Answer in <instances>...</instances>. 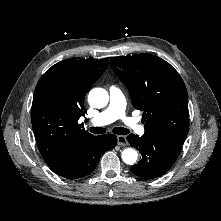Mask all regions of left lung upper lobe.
<instances>
[{"instance_id":"1","label":"left lung upper lobe","mask_w":221,"mask_h":221,"mask_svg":"<svg viewBox=\"0 0 221 221\" xmlns=\"http://www.w3.org/2000/svg\"><path fill=\"white\" fill-rule=\"evenodd\" d=\"M110 65L127 86L133 106L144 111L145 133L185 141L189 130L188 95L178 72L148 53L111 57Z\"/></svg>"}]
</instances>
